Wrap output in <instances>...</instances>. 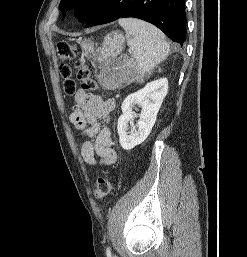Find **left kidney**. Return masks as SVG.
I'll return each instance as SVG.
<instances>
[{"label": "left kidney", "instance_id": "obj_1", "mask_svg": "<svg viewBox=\"0 0 247 257\" xmlns=\"http://www.w3.org/2000/svg\"><path fill=\"white\" fill-rule=\"evenodd\" d=\"M168 92V80L161 78L148 83L144 88L128 95L122 103V115L118 119L119 142L124 150H131L141 144L150 134L163 99ZM141 106L137 129L128 132V123L134 118L133 108Z\"/></svg>", "mask_w": 247, "mask_h": 257}]
</instances>
